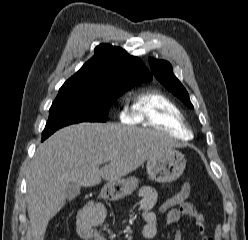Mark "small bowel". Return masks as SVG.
Segmentation results:
<instances>
[{"instance_id":"1","label":"small bowel","mask_w":248,"mask_h":240,"mask_svg":"<svg viewBox=\"0 0 248 240\" xmlns=\"http://www.w3.org/2000/svg\"><path fill=\"white\" fill-rule=\"evenodd\" d=\"M138 195L141 200L142 217L144 226L141 230L142 237L146 240L153 239L157 234V216L153 208L157 202V192L151 186L140 188ZM193 218L201 240H213L206 232L205 219L201 212L192 203H183L178 208L165 214V221L169 224L179 223L182 218ZM106 218V209L99 202H89L78 213L75 222V233L81 240H108L105 233L97 227ZM172 240H183L180 230H176Z\"/></svg>"}]
</instances>
